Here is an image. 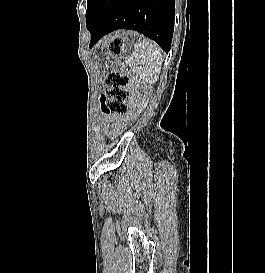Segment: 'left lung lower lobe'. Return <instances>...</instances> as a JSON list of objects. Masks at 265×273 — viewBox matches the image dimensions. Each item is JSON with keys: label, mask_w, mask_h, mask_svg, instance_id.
Masks as SVG:
<instances>
[{"label": "left lung lower lobe", "mask_w": 265, "mask_h": 273, "mask_svg": "<svg viewBox=\"0 0 265 273\" xmlns=\"http://www.w3.org/2000/svg\"><path fill=\"white\" fill-rule=\"evenodd\" d=\"M86 26L91 33L90 47L117 29H130L153 39L170 50L175 0H87ZM102 17V20L100 18Z\"/></svg>", "instance_id": "left-lung-lower-lobe-1"}]
</instances>
